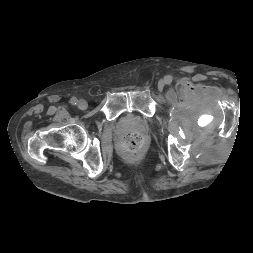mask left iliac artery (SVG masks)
<instances>
[{"instance_id":"obj_1","label":"left iliac artery","mask_w":253,"mask_h":253,"mask_svg":"<svg viewBox=\"0 0 253 253\" xmlns=\"http://www.w3.org/2000/svg\"><path fill=\"white\" fill-rule=\"evenodd\" d=\"M165 81H166L167 84L171 83L172 82L171 76H166Z\"/></svg>"}]
</instances>
